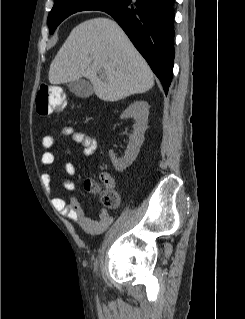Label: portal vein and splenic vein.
I'll use <instances>...</instances> for the list:
<instances>
[{
    "instance_id": "obj_1",
    "label": "portal vein and splenic vein",
    "mask_w": 245,
    "mask_h": 319,
    "mask_svg": "<svg viewBox=\"0 0 245 319\" xmlns=\"http://www.w3.org/2000/svg\"><path fill=\"white\" fill-rule=\"evenodd\" d=\"M103 73H104L103 70H99L100 75H103Z\"/></svg>"
}]
</instances>
